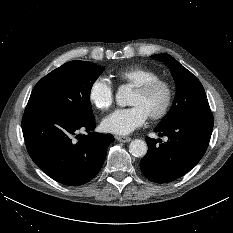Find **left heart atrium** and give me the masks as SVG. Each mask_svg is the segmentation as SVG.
<instances>
[{"mask_svg":"<svg viewBox=\"0 0 233 233\" xmlns=\"http://www.w3.org/2000/svg\"><path fill=\"white\" fill-rule=\"evenodd\" d=\"M147 118L139 106H131L115 110L102 121V126L107 132L125 135L142 126Z\"/></svg>","mask_w":233,"mask_h":233,"instance_id":"1","label":"left heart atrium"}]
</instances>
